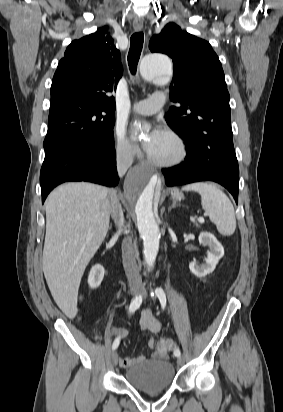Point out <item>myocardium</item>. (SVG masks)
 <instances>
[{
	"label": "myocardium",
	"instance_id": "myocardium-1",
	"mask_svg": "<svg viewBox=\"0 0 283 412\" xmlns=\"http://www.w3.org/2000/svg\"><path fill=\"white\" fill-rule=\"evenodd\" d=\"M164 132L168 134L169 136H171L176 141L178 148H179L178 155L170 161H159L151 157V155L147 152V159L150 163H152L153 165L157 167L172 168V167L178 166L186 159L187 154H188V149H187L186 142L177 132H175L172 129H166Z\"/></svg>",
	"mask_w": 283,
	"mask_h": 412
}]
</instances>
